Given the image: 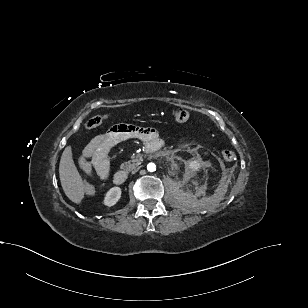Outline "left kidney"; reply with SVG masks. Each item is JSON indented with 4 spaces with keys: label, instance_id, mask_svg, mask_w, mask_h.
<instances>
[{
    "label": "left kidney",
    "instance_id": "1",
    "mask_svg": "<svg viewBox=\"0 0 308 308\" xmlns=\"http://www.w3.org/2000/svg\"><path fill=\"white\" fill-rule=\"evenodd\" d=\"M188 168L192 171V172H196L199 171L201 168V165L198 161L194 160V161H190L188 164Z\"/></svg>",
    "mask_w": 308,
    "mask_h": 308
}]
</instances>
